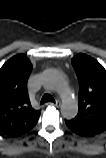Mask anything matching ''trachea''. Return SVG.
I'll return each instance as SVG.
<instances>
[{
    "mask_svg": "<svg viewBox=\"0 0 106 158\" xmlns=\"http://www.w3.org/2000/svg\"><path fill=\"white\" fill-rule=\"evenodd\" d=\"M48 101H51V102H55V99L53 98L52 95L50 94H45L42 99H41V104H44L45 102H48Z\"/></svg>",
    "mask_w": 106,
    "mask_h": 158,
    "instance_id": "3493384b",
    "label": "trachea"
}]
</instances>
